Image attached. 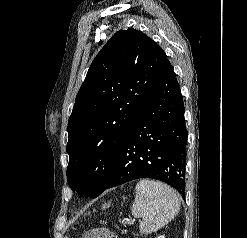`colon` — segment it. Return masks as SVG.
<instances>
[{
  "label": "colon",
  "instance_id": "colon-1",
  "mask_svg": "<svg viewBox=\"0 0 247 238\" xmlns=\"http://www.w3.org/2000/svg\"><path fill=\"white\" fill-rule=\"evenodd\" d=\"M81 238H117V236L107 228L98 227L87 230Z\"/></svg>",
  "mask_w": 247,
  "mask_h": 238
}]
</instances>
